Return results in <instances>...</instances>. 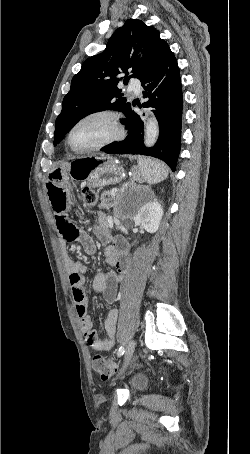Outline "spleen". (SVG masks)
<instances>
[{
	"mask_svg": "<svg viewBox=\"0 0 250 454\" xmlns=\"http://www.w3.org/2000/svg\"><path fill=\"white\" fill-rule=\"evenodd\" d=\"M138 169L141 176L149 184L159 183L167 178L168 171L166 165L156 159L139 157Z\"/></svg>",
	"mask_w": 250,
	"mask_h": 454,
	"instance_id": "3e777b00",
	"label": "spleen"
}]
</instances>
